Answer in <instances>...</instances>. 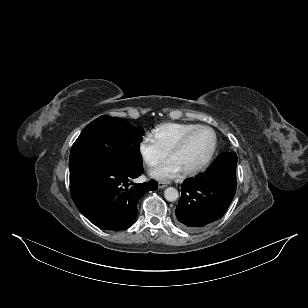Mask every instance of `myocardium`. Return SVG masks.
I'll use <instances>...</instances> for the list:
<instances>
[{
  "label": "myocardium",
  "instance_id": "myocardium-1",
  "mask_svg": "<svg viewBox=\"0 0 308 308\" xmlns=\"http://www.w3.org/2000/svg\"><path fill=\"white\" fill-rule=\"evenodd\" d=\"M201 130H208L212 133L213 138H214V142H213V146L212 149L210 151V153L208 154L207 158L198 166L184 170V174L185 175H194V174H198L202 171H204L212 162L217 148H218V137L217 134L215 132V130L209 126H203L200 125L190 131H188L186 134H184L173 146L172 148L169 150V155L172 156V154H174L175 152L181 150L189 141V139L196 134L197 132L201 131Z\"/></svg>",
  "mask_w": 308,
  "mask_h": 308
}]
</instances>
